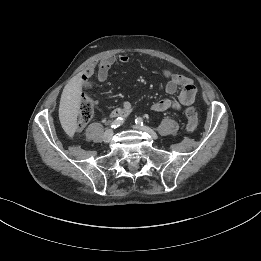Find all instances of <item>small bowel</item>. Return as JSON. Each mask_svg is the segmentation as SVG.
Segmentation results:
<instances>
[{"label": "small bowel", "mask_w": 261, "mask_h": 261, "mask_svg": "<svg viewBox=\"0 0 261 261\" xmlns=\"http://www.w3.org/2000/svg\"><path fill=\"white\" fill-rule=\"evenodd\" d=\"M119 61L123 64L129 62V57L125 54H121L116 58L115 56H110L103 59L98 65L97 68H90L86 70L81 80L86 81L90 78L94 72H96V77L99 82H104L108 75L111 67L116 61ZM163 75L167 79L165 85V91L168 94H175L178 92V99L172 100L169 98L160 99L154 102L150 109L153 112H164L167 110H181L182 107L189 106L194 103L197 95V88L193 81L184 75L177 74L172 72L169 69H163ZM132 112V105L130 102H123L120 106L115 108L110 114L109 117L112 119H117L119 117L125 119ZM82 128V127H80Z\"/></svg>", "instance_id": "small-bowel-1"}]
</instances>
